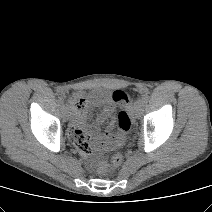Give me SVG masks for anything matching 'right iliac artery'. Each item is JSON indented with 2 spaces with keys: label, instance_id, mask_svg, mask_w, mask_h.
Instances as JSON below:
<instances>
[{
  "label": "right iliac artery",
  "instance_id": "right-iliac-artery-1",
  "mask_svg": "<svg viewBox=\"0 0 212 212\" xmlns=\"http://www.w3.org/2000/svg\"><path fill=\"white\" fill-rule=\"evenodd\" d=\"M58 103H59V105H60L61 107L64 106V100H63V97H62V96H59V97H58Z\"/></svg>",
  "mask_w": 212,
  "mask_h": 212
}]
</instances>
